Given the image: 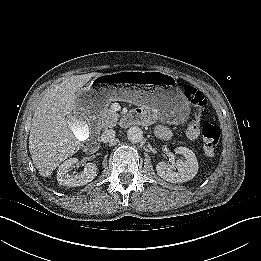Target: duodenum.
Listing matches in <instances>:
<instances>
[{
    "label": "duodenum",
    "mask_w": 261,
    "mask_h": 261,
    "mask_svg": "<svg viewBox=\"0 0 261 261\" xmlns=\"http://www.w3.org/2000/svg\"><path fill=\"white\" fill-rule=\"evenodd\" d=\"M132 122V118L130 117H126L124 119V124H129ZM95 124V130L97 131V123L94 121ZM99 145V142L97 140V138L93 137L91 139L88 140V142L85 145V148L87 151H93L94 149H96Z\"/></svg>",
    "instance_id": "410a0bca"
}]
</instances>
